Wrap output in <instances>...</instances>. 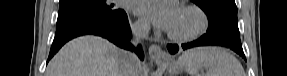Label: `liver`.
<instances>
[{
  "instance_id": "6515ba94",
  "label": "liver",
  "mask_w": 287,
  "mask_h": 76,
  "mask_svg": "<svg viewBox=\"0 0 287 76\" xmlns=\"http://www.w3.org/2000/svg\"><path fill=\"white\" fill-rule=\"evenodd\" d=\"M126 51L93 35L66 43L49 62L47 76H121Z\"/></svg>"
}]
</instances>
